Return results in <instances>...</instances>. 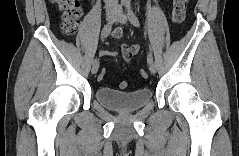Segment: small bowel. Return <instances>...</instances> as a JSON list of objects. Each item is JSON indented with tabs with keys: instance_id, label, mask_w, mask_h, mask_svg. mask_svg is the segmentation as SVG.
I'll list each match as a JSON object with an SVG mask.
<instances>
[{
	"instance_id": "1",
	"label": "small bowel",
	"mask_w": 239,
	"mask_h": 156,
	"mask_svg": "<svg viewBox=\"0 0 239 156\" xmlns=\"http://www.w3.org/2000/svg\"><path fill=\"white\" fill-rule=\"evenodd\" d=\"M114 38L115 39H120L122 36V31L121 29H116L113 32ZM140 50V45L139 44H135V45H127V44H122L121 45V52L120 55L121 57L126 61V62H130L131 59L138 54ZM100 54L102 56H117L119 53L117 51L114 50H102L100 52Z\"/></svg>"
}]
</instances>
